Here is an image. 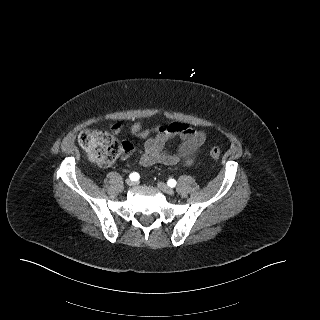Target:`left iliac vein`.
<instances>
[{
	"label": "left iliac vein",
	"mask_w": 320,
	"mask_h": 320,
	"mask_svg": "<svg viewBox=\"0 0 320 320\" xmlns=\"http://www.w3.org/2000/svg\"><path fill=\"white\" fill-rule=\"evenodd\" d=\"M157 186L160 190H162L164 193H167L169 195H173L174 194V190L173 188L169 187L167 184L163 183V182H158Z\"/></svg>",
	"instance_id": "4c4485c4"
}]
</instances>
